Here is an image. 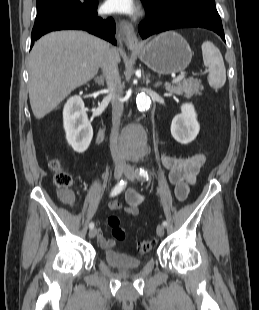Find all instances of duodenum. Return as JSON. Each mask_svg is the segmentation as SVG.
Returning <instances> with one entry per match:
<instances>
[{"label":"duodenum","mask_w":259,"mask_h":310,"mask_svg":"<svg viewBox=\"0 0 259 310\" xmlns=\"http://www.w3.org/2000/svg\"><path fill=\"white\" fill-rule=\"evenodd\" d=\"M102 137V132L99 133L98 139H101Z\"/></svg>","instance_id":"duodenum-1"}]
</instances>
